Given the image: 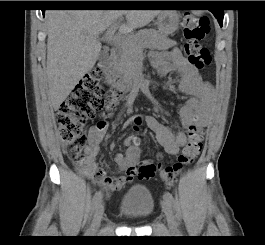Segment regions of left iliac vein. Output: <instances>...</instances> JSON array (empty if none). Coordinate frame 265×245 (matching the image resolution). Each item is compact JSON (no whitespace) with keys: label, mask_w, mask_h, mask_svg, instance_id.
Returning <instances> with one entry per match:
<instances>
[{"label":"left iliac vein","mask_w":265,"mask_h":245,"mask_svg":"<svg viewBox=\"0 0 265 245\" xmlns=\"http://www.w3.org/2000/svg\"><path fill=\"white\" fill-rule=\"evenodd\" d=\"M162 210L165 213L166 219H167V223H168V227L171 233H175L177 232V225H176V221H175V216L172 210V207L170 205V203L164 199L162 201Z\"/></svg>","instance_id":"obj_1"}]
</instances>
